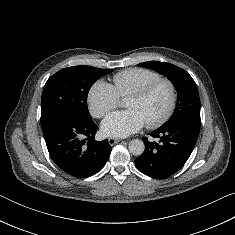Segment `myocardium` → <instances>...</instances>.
<instances>
[{
    "label": "myocardium",
    "mask_w": 235,
    "mask_h": 235,
    "mask_svg": "<svg viewBox=\"0 0 235 235\" xmlns=\"http://www.w3.org/2000/svg\"><path fill=\"white\" fill-rule=\"evenodd\" d=\"M164 85L169 90L170 100L165 112L153 121L147 122L148 128H156L164 124L172 116L177 104V89L172 81L166 78H159L148 85L134 91L128 98L144 99L154 92L159 86Z\"/></svg>",
    "instance_id": "f54148a6"
}]
</instances>
